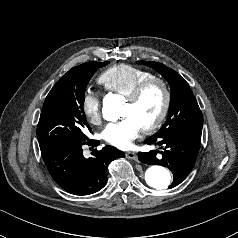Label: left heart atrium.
I'll list each match as a JSON object with an SVG mask.
<instances>
[{
    "mask_svg": "<svg viewBox=\"0 0 238 238\" xmlns=\"http://www.w3.org/2000/svg\"><path fill=\"white\" fill-rule=\"evenodd\" d=\"M141 130L140 125L130 116L108 124L103 130V138L109 144L121 149H127L132 145Z\"/></svg>",
    "mask_w": 238,
    "mask_h": 238,
    "instance_id": "39dd6f15",
    "label": "left heart atrium"
}]
</instances>
